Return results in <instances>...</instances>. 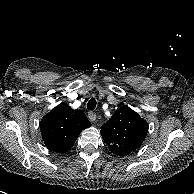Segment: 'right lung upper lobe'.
<instances>
[{"label": "right lung upper lobe", "mask_w": 194, "mask_h": 194, "mask_svg": "<svg viewBox=\"0 0 194 194\" xmlns=\"http://www.w3.org/2000/svg\"><path fill=\"white\" fill-rule=\"evenodd\" d=\"M90 126L83 111L61 103L42 118L40 131L48 149L65 153L74 145L81 131Z\"/></svg>", "instance_id": "right-lung-upper-lobe-1"}]
</instances>
